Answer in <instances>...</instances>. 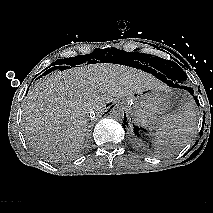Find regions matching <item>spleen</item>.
I'll list each match as a JSON object with an SVG mask.
<instances>
[{
    "mask_svg": "<svg viewBox=\"0 0 213 213\" xmlns=\"http://www.w3.org/2000/svg\"><path fill=\"white\" fill-rule=\"evenodd\" d=\"M196 125V106L190 100L174 113H168L159 122L154 133V146L166 151L178 150L187 143Z\"/></svg>",
    "mask_w": 213,
    "mask_h": 213,
    "instance_id": "obj_1",
    "label": "spleen"
}]
</instances>
